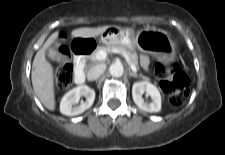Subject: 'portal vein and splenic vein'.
I'll use <instances>...</instances> for the list:
<instances>
[{"instance_id":"18ae733b","label":"portal vein and splenic vein","mask_w":225,"mask_h":155,"mask_svg":"<svg viewBox=\"0 0 225 155\" xmlns=\"http://www.w3.org/2000/svg\"><path fill=\"white\" fill-rule=\"evenodd\" d=\"M109 52L120 53V51L117 50V49H112V50L109 51ZM95 57H96L97 60L103 61V60H105L106 57H107V52H106V51H103V50L98 51V52L96 53V56H95ZM126 60H127L128 64H129L130 68L132 69V71L136 72V71H137L136 66L133 65V64L129 61L128 58H126Z\"/></svg>"}]
</instances>
